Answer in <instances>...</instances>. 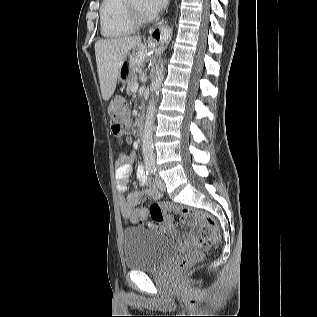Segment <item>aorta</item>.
I'll use <instances>...</instances> for the list:
<instances>
[{"label": "aorta", "instance_id": "762f6f07", "mask_svg": "<svg viewBox=\"0 0 317 317\" xmlns=\"http://www.w3.org/2000/svg\"><path fill=\"white\" fill-rule=\"evenodd\" d=\"M164 78L163 64L157 69L155 79L152 81L151 88L153 91L152 98L149 101L146 119L142 137V151L146 166L153 167L155 165L154 147H153V130L156 96L159 94V89Z\"/></svg>", "mask_w": 317, "mask_h": 317}]
</instances>
